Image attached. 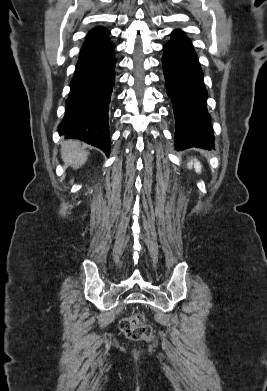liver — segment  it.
<instances>
[{
    "label": "liver",
    "instance_id": "1",
    "mask_svg": "<svg viewBox=\"0 0 267 391\" xmlns=\"http://www.w3.org/2000/svg\"><path fill=\"white\" fill-rule=\"evenodd\" d=\"M88 152L81 149L77 140H67L61 144V157L66 165L74 169L80 168L87 160Z\"/></svg>",
    "mask_w": 267,
    "mask_h": 391
}]
</instances>
